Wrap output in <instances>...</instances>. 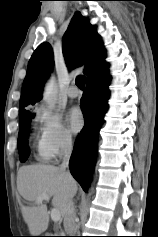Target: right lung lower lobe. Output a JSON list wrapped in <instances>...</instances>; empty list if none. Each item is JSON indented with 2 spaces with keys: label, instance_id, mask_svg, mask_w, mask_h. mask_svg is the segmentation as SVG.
Here are the masks:
<instances>
[{
  "label": "right lung lower lobe",
  "instance_id": "right-lung-lower-lobe-1",
  "mask_svg": "<svg viewBox=\"0 0 158 237\" xmlns=\"http://www.w3.org/2000/svg\"><path fill=\"white\" fill-rule=\"evenodd\" d=\"M110 80L108 68L91 77L86 81V91L81 98L85 124L74 144L70 170L85 192L96 160L99 130L108 109Z\"/></svg>",
  "mask_w": 158,
  "mask_h": 237
}]
</instances>
